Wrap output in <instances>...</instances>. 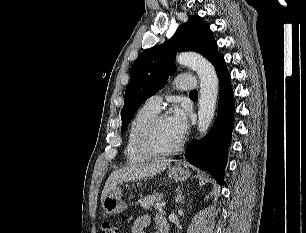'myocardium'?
I'll return each instance as SVG.
<instances>
[{"label": "myocardium", "instance_id": "obj_1", "mask_svg": "<svg viewBox=\"0 0 306 233\" xmlns=\"http://www.w3.org/2000/svg\"><path fill=\"white\" fill-rule=\"evenodd\" d=\"M165 117V114L157 113L142 127L138 136V147L142 153L150 157H166L175 155L181 150L182 143L180 141L170 150H162L158 148L154 142L155 129L158 123Z\"/></svg>", "mask_w": 306, "mask_h": 233}]
</instances>
